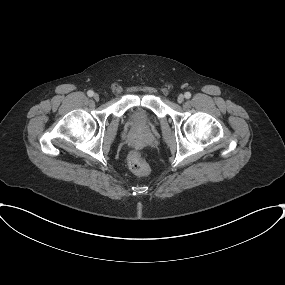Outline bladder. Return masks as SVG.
<instances>
[{
	"mask_svg": "<svg viewBox=\"0 0 285 285\" xmlns=\"http://www.w3.org/2000/svg\"><path fill=\"white\" fill-rule=\"evenodd\" d=\"M136 124H138V125H145L146 121L142 120V119H136Z\"/></svg>",
	"mask_w": 285,
	"mask_h": 285,
	"instance_id": "bladder-1",
	"label": "bladder"
}]
</instances>
